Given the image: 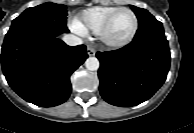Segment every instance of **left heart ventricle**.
I'll return each mask as SVG.
<instances>
[{"mask_svg": "<svg viewBox=\"0 0 194 133\" xmlns=\"http://www.w3.org/2000/svg\"><path fill=\"white\" fill-rule=\"evenodd\" d=\"M134 28V17L130 12H120L114 19L108 36L113 41H122L126 39Z\"/></svg>", "mask_w": 194, "mask_h": 133, "instance_id": "1", "label": "left heart ventricle"}]
</instances>
